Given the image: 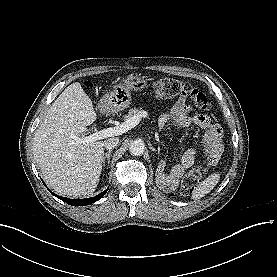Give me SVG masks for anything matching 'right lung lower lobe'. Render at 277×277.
<instances>
[{"mask_svg": "<svg viewBox=\"0 0 277 277\" xmlns=\"http://www.w3.org/2000/svg\"><path fill=\"white\" fill-rule=\"evenodd\" d=\"M45 185V184H44ZM47 187V186H46ZM108 191V189H106L105 191H103L102 193L96 195L95 197H90V198H85V199H78V200H73V199H69V198H65V197H61L59 195H56L55 193L51 192L52 195L58 197L59 199H61L62 201L66 202L69 205H73V206H85L91 203H94L96 201H98L99 199H101L102 196H104V194Z\"/></svg>", "mask_w": 277, "mask_h": 277, "instance_id": "obj_1", "label": "right lung lower lobe"}]
</instances>
